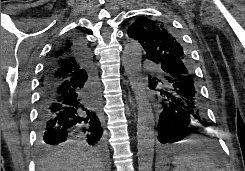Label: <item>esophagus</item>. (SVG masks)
<instances>
[{
	"label": "esophagus",
	"instance_id": "1",
	"mask_svg": "<svg viewBox=\"0 0 245 171\" xmlns=\"http://www.w3.org/2000/svg\"><path fill=\"white\" fill-rule=\"evenodd\" d=\"M128 104H129L131 111L135 112L136 103L131 94L128 95Z\"/></svg>",
	"mask_w": 245,
	"mask_h": 171
}]
</instances>
